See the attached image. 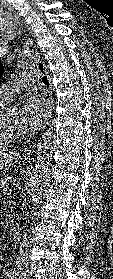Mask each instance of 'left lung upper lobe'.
I'll list each match as a JSON object with an SVG mask.
<instances>
[{
	"mask_svg": "<svg viewBox=\"0 0 113 279\" xmlns=\"http://www.w3.org/2000/svg\"><path fill=\"white\" fill-rule=\"evenodd\" d=\"M3 72H4V66H3V64L0 62V78H1V76H2V74H3Z\"/></svg>",
	"mask_w": 113,
	"mask_h": 279,
	"instance_id": "obj_1",
	"label": "left lung upper lobe"
}]
</instances>
